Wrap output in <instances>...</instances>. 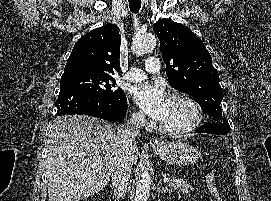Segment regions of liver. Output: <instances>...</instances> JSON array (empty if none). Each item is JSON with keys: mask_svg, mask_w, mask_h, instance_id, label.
Listing matches in <instances>:
<instances>
[{"mask_svg": "<svg viewBox=\"0 0 271 201\" xmlns=\"http://www.w3.org/2000/svg\"><path fill=\"white\" fill-rule=\"evenodd\" d=\"M116 131L115 124L85 115L54 121L46 159L49 201H80L107 185L120 149ZM138 154L134 143L132 164Z\"/></svg>", "mask_w": 271, "mask_h": 201, "instance_id": "6515ba94", "label": "liver"}]
</instances>
